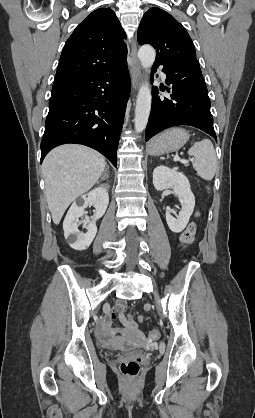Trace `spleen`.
<instances>
[{
	"mask_svg": "<svg viewBox=\"0 0 255 418\" xmlns=\"http://www.w3.org/2000/svg\"><path fill=\"white\" fill-rule=\"evenodd\" d=\"M188 154L195 158L193 167L197 175L206 181L213 179L217 169V158L214 146L209 139H203L188 150Z\"/></svg>",
	"mask_w": 255,
	"mask_h": 418,
	"instance_id": "1",
	"label": "spleen"
}]
</instances>
